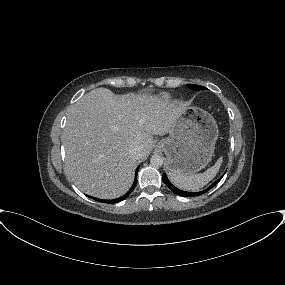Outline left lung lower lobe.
I'll return each instance as SVG.
<instances>
[{
	"label": "left lung lower lobe",
	"instance_id": "obj_1",
	"mask_svg": "<svg viewBox=\"0 0 285 285\" xmlns=\"http://www.w3.org/2000/svg\"><path fill=\"white\" fill-rule=\"evenodd\" d=\"M222 178V177H221ZM218 179L216 182H214L212 185H210L209 188H207L206 190H203L201 192H186V191H182L178 188H176L175 186H173L167 176L165 174L162 175V180L163 182L175 193V194H178L180 196H183V197H191V196H197V195H200V194H203L204 192L208 191L209 189H211L212 187H214L220 180Z\"/></svg>",
	"mask_w": 285,
	"mask_h": 285
}]
</instances>
